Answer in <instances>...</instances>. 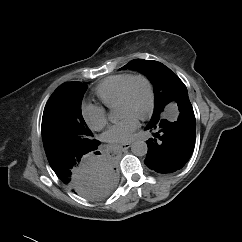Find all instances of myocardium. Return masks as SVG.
Segmentation results:
<instances>
[{
	"mask_svg": "<svg viewBox=\"0 0 242 242\" xmlns=\"http://www.w3.org/2000/svg\"><path fill=\"white\" fill-rule=\"evenodd\" d=\"M137 80H142L146 84L147 89H148V105H147L145 111L138 116V118L141 120H147L148 118L151 117V115L153 114V111H154L155 89H154V85H153L152 81L150 80V78L144 74L132 75L129 78V80L126 82V84L124 85V87L121 91L120 97L117 102V106L127 102L128 98H129L131 86Z\"/></svg>",
	"mask_w": 242,
	"mask_h": 242,
	"instance_id": "myocardium-1",
	"label": "myocardium"
}]
</instances>
